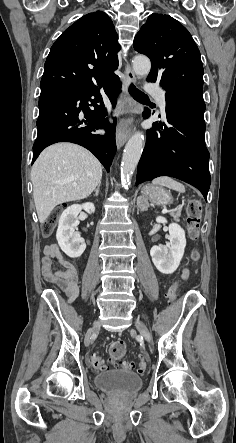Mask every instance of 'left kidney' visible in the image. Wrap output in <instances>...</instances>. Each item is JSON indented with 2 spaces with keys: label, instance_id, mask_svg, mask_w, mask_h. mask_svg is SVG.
<instances>
[{
  "label": "left kidney",
  "instance_id": "left-kidney-1",
  "mask_svg": "<svg viewBox=\"0 0 236 443\" xmlns=\"http://www.w3.org/2000/svg\"><path fill=\"white\" fill-rule=\"evenodd\" d=\"M157 223H167L164 217H157ZM169 229L168 246H153L150 255L155 267L163 274H172L178 268L186 247L185 231L176 223H172Z\"/></svg>",
  "mask_w": 236,
  "mask_h": 443
}]
</instances>
